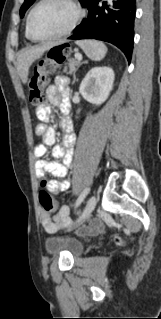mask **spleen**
Masks as SVG:
<instances>
[{
    "label": "spleen",
    "mask_w": 161,
    "mask_h": 319,
    "mask_svg": "<svg viewBox=\"0 0 161 319\" xmlns=\"http://www.w3.org/2000/svg\"><path fill=\"white\" fill-rule=\"evenodd\" d=\"M76 44L84 51L86 56L93 61L102 60L107 53V47L100 41L82 40L77 41Z\"/></svg>",
    "instance_id": "obj_1"
}]
</instances>
